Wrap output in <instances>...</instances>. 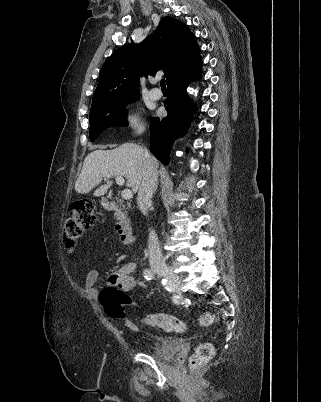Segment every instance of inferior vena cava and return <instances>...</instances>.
<instances>
[{"instance_id": "inferior-vena-cava-1", "label": "inferior vena cava", "mask_w": 321, "mask_h": 402, "mask_svg": "<svg viewBox=\"0 0 321 402\" xmlns=\"http://www.w3.org/2000/svg\"><path fill=\"white\" fill-rule=\"evenodd\" d=\"M145 163L144 172L142 176V181L140 183L138 194H137V204L140 211L147 215L148 207L152 203V195L154 188L157 184V170L154 166L151 155L147 150L144 152ZM148 239V253H149V263L152 267H165V260L163 258L158 236L155 230H149Z\"/></svg>"}]
</instances>
